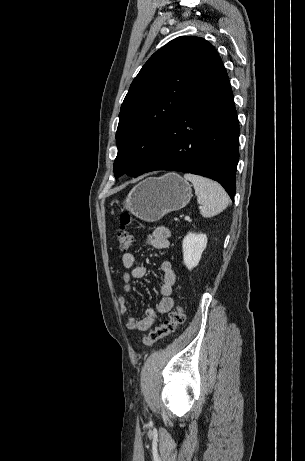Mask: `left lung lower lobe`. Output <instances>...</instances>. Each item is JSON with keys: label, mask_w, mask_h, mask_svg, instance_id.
Segmentation results:
<instances>
[{"label": "left lung lower lobe", "mask_w": 305, "mask_h": 461, "mask_svg": "<svg viewBox=\"0 0 305 461\" xmlns=\"http://www.w3.org/2000/svg\"><path fill=\"white\" fill-rule=\"evenodd\" d=\"M238 138L233 93L219 57L169 123L160 155L148 172L173 170L208 177L234 200Z\"/></svg>", "instance_id": "obj_1"}]
</instances>
